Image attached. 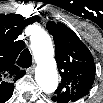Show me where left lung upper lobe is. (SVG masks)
Returning a JSON list of instances; mask_svg holds the SVG:
<instances>
[{"instance_id":"obj_1","label":"left lung upper lobe","mask_w":103,"mask_h":103,"mask_svg":"<svg viewBox=\"0 0 103 103\" xmlns=\"http://www.w3.org/2000/svg\"><path fill=\"white\" fill-rule=\"evenodd\" d=\"M55 42V59L61 83L52 98L57 103H72L87 95L95 79L94 59L78 36L62 23L46 26Z\"/></svg>"}]
</instances>
